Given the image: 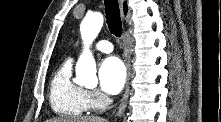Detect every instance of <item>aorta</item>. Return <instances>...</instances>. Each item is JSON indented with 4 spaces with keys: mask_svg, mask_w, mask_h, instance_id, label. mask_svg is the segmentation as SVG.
<instances>
[{
    "mask_svg": "<svg viewBox=\"0 0 221 122\" xmlns=\"http://www.w3.org/2000/svg\"><path fill=\"white\" fill-rule=\"evenodd\" d=\"M103 26V15L99 12L87 15L81 23L80 31L85 50L76 64V83L86 87L97 84L96 63L88 50V46L94 41Z\"/></svg>",
    "mask_w": 221,
    "mask_h": 122,
    "instance_id": "762f6f07",
    "label": "aorta"
}]
</instances>
